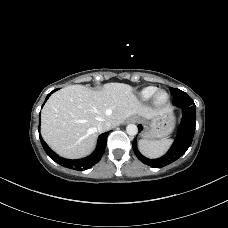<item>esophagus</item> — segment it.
<instances>
[{
  "mask_svg": "<svg viewBox=\"0 0 228 228\" xmlns=\"http://www.w3.org/2000/svg\"><path fill=\"white\" fill-rule=\"evenodd\" d=\"M131 120V122H136V120L134 119V118H132V119H130Z\"/></svg>",
  "mask_w": 228,
  "mask_h": 228,
  "instance_id": "34e87169",
  "label": "esophagus"
}]
</instances>
